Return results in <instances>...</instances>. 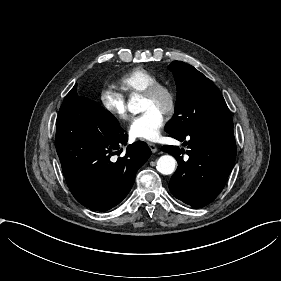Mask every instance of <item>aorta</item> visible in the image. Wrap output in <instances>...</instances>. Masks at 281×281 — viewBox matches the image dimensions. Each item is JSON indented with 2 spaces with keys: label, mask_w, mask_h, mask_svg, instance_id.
Returning a JSON list of instances; mask_svg holds the SVG:
<instances>
[{
  "label": "aorta",
  "mask_w": 281,
  "mask_h": 281,
  "mask_svg": "<svg viewBox=\"0 0 281 281\" xmlns=\"http://www.w3.org/2000/svg\"><path fill=\"white\" fill-rule=\"evenodd\" d=\"M128 110L137 114L141 111V98L138 95L132 96L128 103ZM157 170L163 175H170L175 171L176 160L171 155H163L157 161Z\"/></svg>",
  "instance_id": "obj_1"
}]
</instances>
